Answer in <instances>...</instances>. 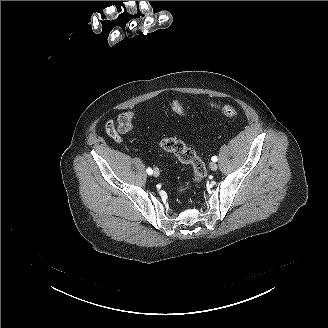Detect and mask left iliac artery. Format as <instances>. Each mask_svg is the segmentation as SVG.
<instances>
[{
  "mask_svg": "<svg viewBox=\"0 0 328 328\" xmlns=\"http://www.w3.org/2000/svg\"><path fill=\"white\" fill-rule=\"evenodd\" d=\"M211 160H212L213 162H216V161L218 160V158H217L216 156H213V157L211 158Z\"/></svg>",
  "mask_w": 328,
  "mask_h": 328,
  "instance_id": "obj_1",
  "label": "left iliac artery"
}]
</instances>
